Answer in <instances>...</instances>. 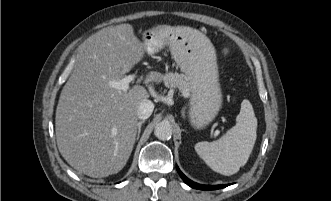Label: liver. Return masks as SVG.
I'll return each mask as SVG.
<instances>
[{
  "label": "liver",
  "instance_id": "1",
  "mask_svg": "<svg viewBox=\"0 0 331 201\" xmlns=\"http://www.w3.org/2000/svg\"><path fill=\"white\" fill-rule=\"evenodd\" d=\"M163 41L174 27L159 25ZM130 24L102 29L77 56L56 108L55 131L59 152L74 169L93 178L116 174L126 165L137 134V110L149 98L141 85L127 91L110 81L124 77L145 53ZM163 75L150 72L147 82Z\"/></svg>",
  "mask_w": 331,
  "mask_h": 201
}]
</instances>
